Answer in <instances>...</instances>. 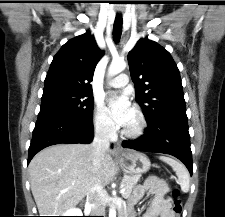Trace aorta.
I'll list each match as a JSON object with an SVG mask.
<instances>
[{
    "instance_id": "aorta-1",
    "label": "aorta",
    "mask_w": 225,
    "mask_h": 217,
    "mask_svg": "<svg viewBox=\"0 0 225 217\" xmlns=\"http://www.w3.org/2000/svg\"><path fill=\"white\" fill-rule=\"evenodd\" d=\"M126 68V63L123 60H112L109 68H108V77H113L120 72H122ZM109 217H116L115 208L112 207L110 209Z\"/></svg>"
}]
</instances>
